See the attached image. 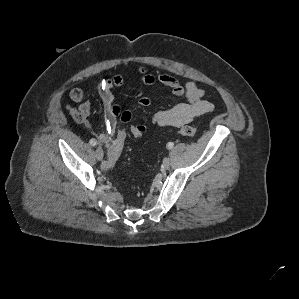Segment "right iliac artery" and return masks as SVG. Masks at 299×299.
Here are the masks:
<instances>
[{
  "label": "right iliac artery",
  "mask_w": 299,
  "mask_h": 299,
  "mask_svg": "<svg viewBox=\"0 0 299 299\" xmlns=\"http://www.w3.org/2000/svg\"><path fill=\"white\" fill-rule=\"evenodd\" d=\"M89 143H90V145H92V146H96V145H97V141H96L95 139H91V140L89 141Z\"/></svg>",
  "instance_id": "1"
}]
</instances>
